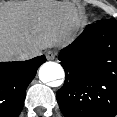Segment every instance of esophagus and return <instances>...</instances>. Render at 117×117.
Wrapping results in <instances>:
<instances>
[{"label": "esophagus", "mask_w": 117, "mask_h": 117, "mask_svg": "<svg viewBox=\"0 0 117 117\" xmlns=\"http://www.w3.org/2000/svg\"><path fill=\"white\" fill-rule=\"evenodd\" d=\"M46 58L48 60H54L55 59V53L53 51H47L46 52Z\"/></svg>", "instance_id": "1"}]
</instances>
